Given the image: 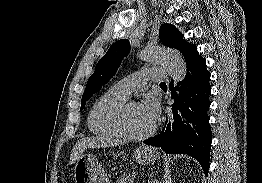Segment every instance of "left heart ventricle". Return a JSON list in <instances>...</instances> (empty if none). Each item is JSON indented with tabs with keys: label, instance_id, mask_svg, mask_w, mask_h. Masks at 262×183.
<instances>
[{
	"label": "left heart ventricle",
	"instance_id": "obj_1",
	"mask_svg": "<svg viewBox=\"0 0 262 183\" xmlns=\"http://www.w3.org/2000/svg\"><path fill=\"white\" fill-rule=\"evenodd\" d=\"M125 121L127 129L134 134L145 133L153 127L143 114L141 106L137 104L128 107Z\"/></svg>",
	"mask_w": 262,
	"mask_h": 183
}]
</instances>
